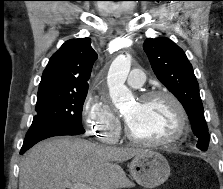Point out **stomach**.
I'll return each mask as SVG.
<instances>
[{
    "label": "stomach",
    "mask_w": 223,
    "mask_h": 189,
    "mask_svg": "<svg viewBox=\"0 0 223 189\" xmlns=\"http://www.w3.org/2000/svg\"><path fill=\"white\" fill-rule=\"evenodd\" d=\"M133 179L145 188H155L163 184L170 175V166L158 152L145 150L136 155L130 163Z\"/></svg>",
    "instance_id": "stomach-1"
}]
</instances>
